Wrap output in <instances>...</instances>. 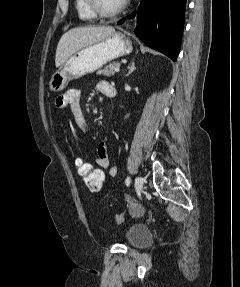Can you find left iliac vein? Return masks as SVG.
Returning <instances> with one entry per match:
<instances>
[{
    "mask_svg": "<svg viewBox=\"0 0 240 287\" xmlns=\"http://www.w3.org/2000/svg\"><path fill=\"white\" fill-rule=\"evenodd\" d=\"M134 184H135V189H136V191H137L138 193H140L141 190H142V188H143V179H142L141 177H139V176L136 177Z\"/></svg>",
    "mask_w": 240,
    "mask_h": 287,
    "instance_id": "left-iliac-vein-1",
    "label": "left iliac vein"
}]
</instances>
